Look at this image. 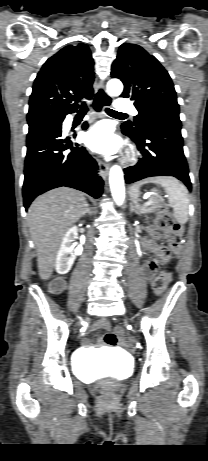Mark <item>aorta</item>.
<instances>
[{"label": "aorta", "mask_w": 208, "mask_h": 461, "mask_svg": "<svg viewBox=\"0 0 208 461\" xmlns=\"http://www.w3.org/2000/svg\"><path fill=\"white\" fill-rule=\"evenodd\" d=\"M123 91V84L118 79H111L107 83V92L111 97L119 96ZM109 184L112 197L117 205L121 206L125 200V186L123 171L120 166L113 165L109 172Z\"/></svg>", "instance_id": "aorta-1"}]
</instances>
